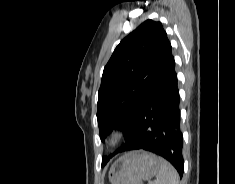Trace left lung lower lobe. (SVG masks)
<instances>
[{
	"label": "left lung lower lobe",
	"instance_id": "1",
	"mask_svg": "<svg viewBox=\"0 0 235 184\" xmlns=\"http://www.w3.org/2000/svg\"><path fill=\"white\" fill-rule=\"evenodd\" d=\"M177 74L172 47L167 40L154 81L141 106L134 131L120 152L143 149L184 170Z\"/></svg>",
	"mask_w": 235,
	"mask_h": 184
}]
</instances>
